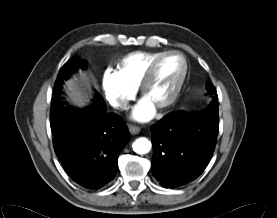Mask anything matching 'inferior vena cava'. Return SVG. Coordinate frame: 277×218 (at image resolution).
I'll return each instance as SVG.
<instances>
[{"mask_svg":"<svg viewBox=\"0 0 277 218\" xmlns=\"http://www.w3.org/2000/svg\"><path fill=\"white\" fill-rule=\"evenodd\" d=\"M114 105L116 107H120L122 109H126L127 108V103H125V102H116Z\"/></svg>","mask_w":277,"mask_h":218,"instance_id":"inferior-vena-cava-1","label":"inferior vena cava"}]
</instances>
